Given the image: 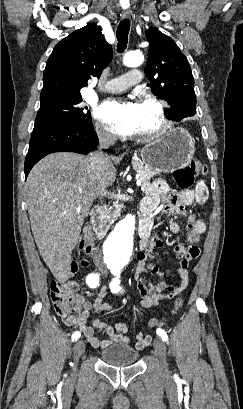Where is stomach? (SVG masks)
<instances>
[{
    "mask_svg": "<svg viewBox=\"0 0 243 409\" xmlns=\"http://www.w3.org/2000/svg\"><path fill=\"white\" fill-rule=\"evenodd\" d=\"M194 152L195 141L190 133L177 127L147 143L141 150V158L157 172H173L188 165Z\"/></svg>",
    "mask_w": 243,
    "mask_h": 409,
    "instance_id": "obj_1",
    "label": "stomach"
}]
</instances>
